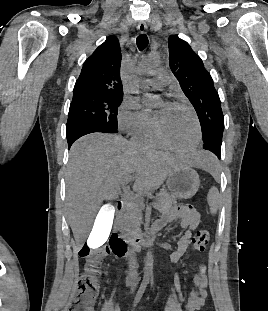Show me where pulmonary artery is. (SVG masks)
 <instances>
[{"instance_id":"pulmonary-artery-1","label":"pulmonary artery","mask_w":268,"mask_h":311,"mask_svg":"<svg viewBox=\"0 0 268 311\" xmlns=\"http://www.w3.org/2000/svg\"><path fill=\"white\" fill-rule=\"evenodd\" d=\"M170 81V75L161 70H157L152 74L151 78L144 80V83L153 88H161L166 86Z\"/></svg>"}]
</instances>
